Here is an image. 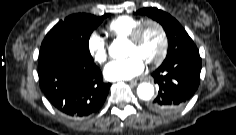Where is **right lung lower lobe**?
Returning <instances> with one entry per match:
<instances>
[{
	"mask_svg": "<svg viewBox=\"0 0 236 135\" xmlns=\"http://www.w3.org/2000/svg\"><path fill=\"white\" fill-rule=\"evenodd\" d=\"M38 75L40 87L49 102L73 118L96 113L111 86L103 82L102 73L94 62L76 53L40 62Z\"/></svg>",
	"mask_w": 236,
	"mask_h": 135,
	"instance_id": "right-lung-lower-lobe-1",
	"label": "right lung lower lobe"
}]
</instances>
